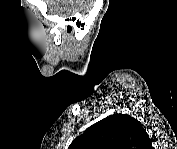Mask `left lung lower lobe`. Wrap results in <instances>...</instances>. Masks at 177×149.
Returning <instances> with one entry per match:
<instances>
[{"label": "left lung lower lobe", "instance_id": "0a47b994", "mask_svg": "<svg viewBox=\"0 0 177 149\" xmlns=\"http://www.w3.org/2000/svg\"><path fill=\"white\" fill-rule=\"evenodd\" d=\"M147 140L149 141L148 142L149 145H147V149H150L152 147V145H151V140H150L149 136H147Z\"/></svg>", "mask_w": 177, "mask_h": 149}]
</instances>
